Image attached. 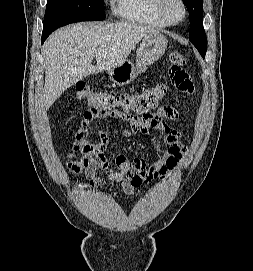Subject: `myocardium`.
Instances as JSON below:
<instances>
[{
	"instance_id": "1",
	"label": "myocardium",
	"mask_w": 253,
	"mask_h": 271,
	"mask_svg": "<svg viewBox=\"0 0 253 271\" xmlns=\"http://www.w3.org/2000/svg\"><path fill=\"white\" fill-rule=\"evenodd\" d=\"M170 0H157L156 8L159 13V15L162 17V19L168 24V25H178L182 23L187 16V7L183 0H176L181 8H182V17L179 20H174L168 13L167 5Z\"/></svg>"
}]
</instances>
